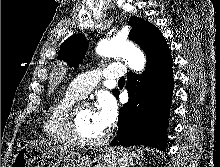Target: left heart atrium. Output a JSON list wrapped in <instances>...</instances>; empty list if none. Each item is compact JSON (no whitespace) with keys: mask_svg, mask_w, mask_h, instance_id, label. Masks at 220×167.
<instances>
[{"mask_svg":"<svg viewBox=\"0 0 220 167\" xmlns=\"http://www.w3.org/2000/svg\"><path fill=\"white\" fill-rule=\"evenodd\" d=\"M96 124L103 130H106L116 117V105L109 96L101 97L97 106L91 110Z\"/></svg>","mask_w":220,"mask_h":167,"instance_id":"1","label":"left heart atrium"}]
</instances>
